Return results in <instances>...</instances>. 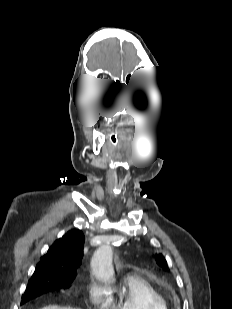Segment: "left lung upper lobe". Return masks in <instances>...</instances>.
I'll return each instance as SVG.
<instances>
[{"instance_id": "obj_1", "label": "left lung upper lobe", "mask_w": 232, "mask_h": 309, "mask_svg": "<svg viewBox=\"0 0 232 309\" xmlns=\"http://www.w3.org/2000/svg\"><path fill=\"white\" fill-rule=\"evenodd\" d=\"M156 262L158 263L159 266H161V267H163L165 269L168 268L167 267V262H166L165 258L161 254L156 255Z\"/></svg>"}]
</instances>
